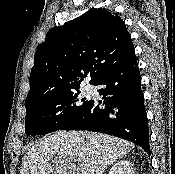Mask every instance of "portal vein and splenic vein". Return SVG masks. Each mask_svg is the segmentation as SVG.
Masks as SVG:
<instances>
[{
	"label": "portal vein and splenic vein",
	"mask_w": 175,
	"mask_h": 174,
	"mask_svg": "<svg viewBox=\"0 0 175 174\" xmlns=\"http://www.w3.org/2000/svg\"><path fill=\"white\" fill-rule=\"evenodd\" d=\"M81 174H86V167L84 165H80Z\"/></svg>",
	"instance_id": "18ae733b"
}]
</instances>
